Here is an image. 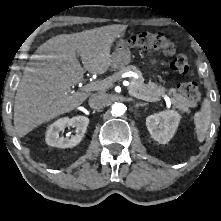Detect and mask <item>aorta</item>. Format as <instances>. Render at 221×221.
Here are the masks:
<instances>
[{
  "instance_id": "762f6f07",
  "label": "aorta",
  "mask_w": 221,
  "mask_h": 221,
  "mask_svg": "<svg viewBox=\"0 0 221 221\" xmlns=\"http://www.w3.org/2000/svg\"><path fill=\"white\" fill-rule=\"evenodd\" d=\"M126 106L123 103H115L111 107V113L114 116H122L126 111Z\"/></svg>"
}]
</instances>
